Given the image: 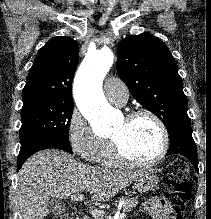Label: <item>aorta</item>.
<instances>
[{
	"label": "aorta",
	"instance_id": "762f6f07",
	"mask_svg": "<svg viewBox=\"0 0 211 219\" xmlns=\"http://www.w3.org/2000/svg\"><path fill=\"white\" fill-rule=\"evenodd\" d=\"M114 61L109 48L88 52L75 76L73 92L82 115L90 122L93 132L100 137L112 134L117 115L102 91L103 79Z\"/></svg>",
	"mask_w": 211,
	"mask_h": 219
}]
</instances>
